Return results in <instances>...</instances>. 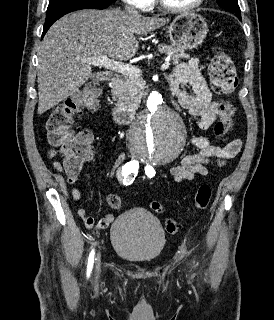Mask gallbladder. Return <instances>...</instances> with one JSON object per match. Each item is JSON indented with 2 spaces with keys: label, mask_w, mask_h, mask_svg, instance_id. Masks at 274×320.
Masks as SVG:
<instances>
[{
  "label": "gallbladder",
  "mask_w": 274,
  "mask_h": 320,
  "mask_svg": "<svg viewBox=\"0 0 274 320\" xmlns=\"http://www.w3.org/2000/svg\"><path fill=\"white\" fill-rule=\"evenodd\" d=\"M90 79L98 82L100 79H107V72H90Z\"/></svg>",
  "instance_id": "bac80fb5"
}]
</instances>
